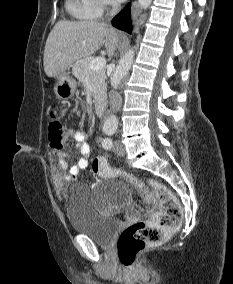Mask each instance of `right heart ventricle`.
Segmentation results:
<instances>
[{
  "mask_svg": "<svg viewBox=\"0 0 233 284\" xmlns=\"http://www.w3.org/2000/svg\"><path fill=\"white\" fill-rule=\"evenodd\" d=\"M66 7L73 17L83 21L98 20L103 13L100 0H67Z\"/></svg>",
  "mask_w": 233,
  "mask_h": 284,
  "instance_id": "obj_1",
  "label": "right heart ventricle"
}]
</instances>
